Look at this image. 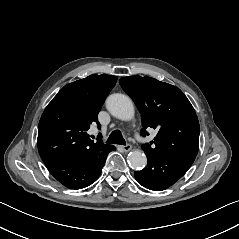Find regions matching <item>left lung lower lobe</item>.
Instances as JSON below:
<instances>
[{"mask_svg": "<svg viewBox=\"0 0 239 239\" xmlns=\"http://www.w3.org/2000/svg\"><path fill=\"white\" fill-rule=\"evenodd\" d=\"M147 166L134 175L143 187L161 191L178 181L190 168L195 160L194 155L188 154H152L145 151Z\"/></svg>", "mask_w": 239, "mask_h": 239, "instance_id": "1", "label": "left lung lower lobe"}]
</instances>
